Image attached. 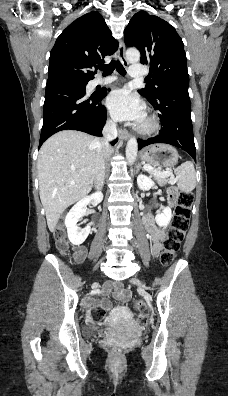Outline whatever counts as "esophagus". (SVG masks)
Segmentation results:
<instances>
[{"instance_id":"esophagus-1","label":"esophagus","mask_w":228,"mask_h":396,"mask_svg":"<svg viewBox=\"0 0 228 396\" xmlns=\"http://www.w3.org/2000/svg\"><path fill=\"white\" fill-rule=\"evenodd\" d=\"M118 56H119V59L122 62V64L124 66H128V61L126 60V57H125V44L122 40L119 43ZM118 133L122 140H127L130 137L129 132L122 127L118 128Z\"/></svg>"}]
</instances>
